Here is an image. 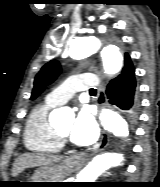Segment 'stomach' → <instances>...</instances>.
Listing matches in <instances>:
<instances>
[{
  "label": "stomach",
  "mask_w": 160,
  "mask_h": 187,
  "mask_svg": "<svg viewBox=\"0 0 160 187\" xmlns=\"http://www.w3.org/2000/svg\"><path fill=\"white\" fill-rule=\"evenodd\" d=\"M75 165L69 161L64 160L59 164H54L51 166L40 167L35 171L31 177L30 187H51L57 186L55 184L59 183H40V182H62V180L69 172L74 169Z\"/></svg>",
  "instance_id": "stomach-1"
}]
</instances>
